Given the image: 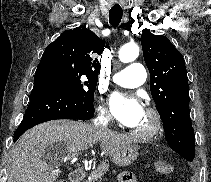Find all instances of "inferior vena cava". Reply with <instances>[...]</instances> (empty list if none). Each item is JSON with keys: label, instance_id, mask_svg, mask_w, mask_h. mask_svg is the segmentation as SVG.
I'll list each match as a JSON object with an SVG mask.
<instances>
[{"label": "inferior vena cava", "instance_id": "1", "mask_svg": "<svg viewBox=\"0 0 211 182\" xmlns=\"http://www.w3.org/2000/svg\"><path fill=\"white\" fill-rule=\"evenodd\" d=\"M108 124V117L101 115L94 121V126L98 127L99 131H106Z\"/></svg>", "mask_w": 211, "mask_h": 182}]
</instances>
